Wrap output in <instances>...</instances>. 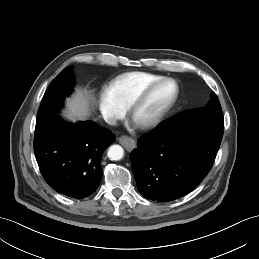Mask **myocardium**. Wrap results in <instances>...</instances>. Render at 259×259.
Here are the masks:
<instances>
[{"mask_svg":"<svg viewBox=\"0 0 259 259\" xmlns=\"http://www.w3.org/2000/svg\"><path fill=\"white\" fill-rule=\"evenodd\" d=\"M171 82L175 85L176 91L173 98L150 120L143 123H136L137 126L143 130H148L159 125L163 119L167 116V114L173 109L175 104L177 103L180 96V85L178 81L171 77H163L159 80H156L146 87H144L130 102L127 107L128 115L132 121H134V115L137 109L146 101L149 95L152 93L154 89L158 86Z\"/></svg>","mask_w":259,"mask_h":259,"instance_id":"myocardium-1","label":"myocardium"}]
</instances>
